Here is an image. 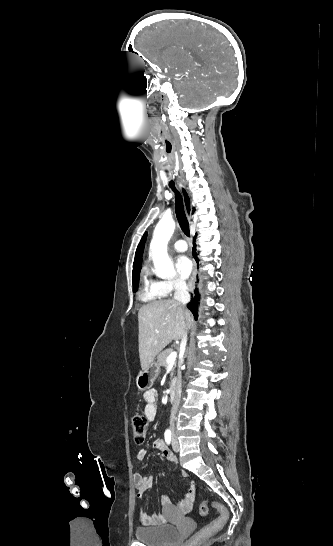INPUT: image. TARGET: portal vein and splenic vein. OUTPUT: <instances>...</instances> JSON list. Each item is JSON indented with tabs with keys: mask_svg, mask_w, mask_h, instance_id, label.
Instances as JSON below:
<instances>
[{
	"mask_svg": "<svg viewBox=\"0 0 333 546\" xmlns=\"http://www.w3.org/2000/svg\"><path fill=\"white\" fill-rule=\"evenodd\" d=\"M176 357H177V352L176 351L171 352V354L167 357V360H166L167 363L174 364Z\"/></svg>",
	"mask_w": 333,
	"mask_h": 546,
	"instance_id": "1",
	"label": "portal vein and splenic vein"
}]
</instances>
